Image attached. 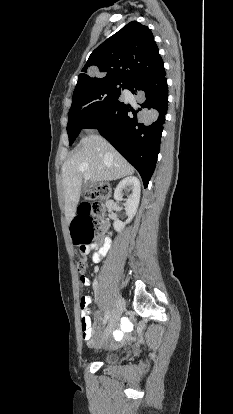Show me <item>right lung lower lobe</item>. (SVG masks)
Masks as SVG:
<instances>
[{"mask_svg": "<svg viewBox=\"0 0 233 414\" xmlns=\"http://www.w3.org/2000/svg\"><path fill=\"white\" fill-rule=\"evenodd\" d=\"M126 89L139 96L138 107L119 99L84 129H97L138 170L146 188L156 166L168 108L165 70L134 79Z\"/></svg>", "mask_w": 233, "mask_h": 414, "instance_id": "1", "label": "right lung lower lobe"}]
</instances>
